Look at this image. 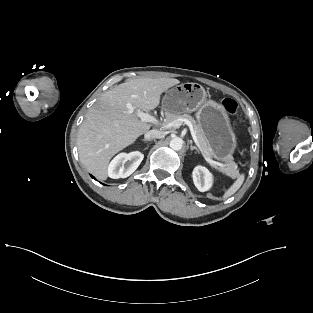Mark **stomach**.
<instances>
[{
	"label": "stomach",
	"instance_id": "0dacf381",
	"mask_svg": "<svg viewBox=\"0 0 313 313\" xmlns=\"http://www.w3.org/2000/svg\"><path fill=\"white\" fill-rule=\"evenodd\" d=\"M167 115L196 112L198 124L212 149V158L227 162L237 147L228 114L219 103L207 98L205 89L197 83H183L168 90L163 97Z\"/></svg>",
	"mask_w": 313,
	"mask_h": 313
}]
</instances>
